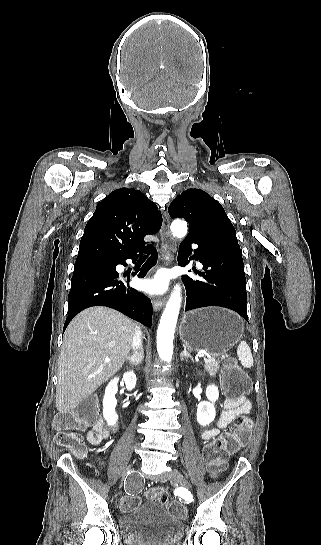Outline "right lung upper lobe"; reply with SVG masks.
<instances>
[{"label": "right lung upper lobe", "mask_w": 321, "mask_h": 545, "mask_svg": "<svg viewBox=\"0 0 321 545\" xmlns=\"http://www.w3.org/2000/svg\"><path fill=\"white\" fill-rule=\"evenodd\" d=\"M161 225L160 211L141 191L117 189L97 205L85 226L74 267L132 255L145 245L144 236L157 233Z\"/></svg>", "instance_id": "1"}]
</instances>
